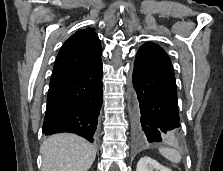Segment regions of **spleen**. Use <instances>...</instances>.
<instances>
[{"instance_id":"1","label":"spleen","mask_w":223,"mask_h":171,"mask_svg":"<svg viewBox=\"0 0 223 171\" xmlns=\"http://www.w3.org/2000/svg\"><path fill=\"white\" fill-rule=\"evenodd\" d=\"M159 152L163 157H165L167 160H169L172 163L181 162L180 153L173 148L162 147V148H159Z\"/></svg>"}]
</instances>
